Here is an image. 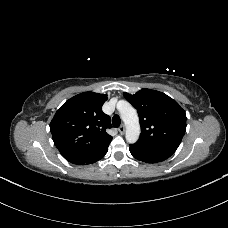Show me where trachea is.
I'll use <instances>...</instances> for the list:
<instances>
[{
	"instance_id": "1",
	"label": "trachea",
	"mask_w": 228,
	"mask_h": 228,
	"mask_svg": "<svg viewBox=\"0 0 228 228\" xmlns=\"http://www.w3.org/2000/svg\"><path fill=\"white\" fill-rule=\"evenodd\" d=\"M112 124L114 127H119L121 124V119L118 115H114L112 118Z\"/></svg>"
}]
</instances>
